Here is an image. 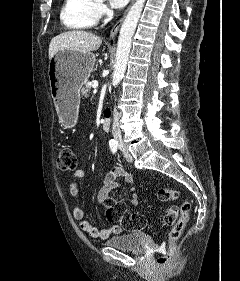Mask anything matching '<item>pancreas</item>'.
<instances>
[{
  "label": "pancreas",
  "mask_w": 240,
  "mask_h": 281,
  "mask_svg": "<svg viewBox=\"0 0 240 281\" xmlns=\"http://www.w3.org/2000/svg\"><path fill=\"white\" fill-rule=\"evenodd\" d=\"M91 88V83H86L85 87L82 88L81 94L83 97H88L89 96V91Z\"/></svg>",
  "instance_id": "1"
}]
</instances>
